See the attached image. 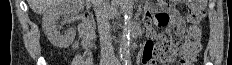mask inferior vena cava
<instances>
[{
	"instance_id": "1",
	"label": "inferior vena cava",
	"mask_w": 232,
	"mask_h": 65,
	"mask_svg": "<svg viewBox=\"0 0 232 65\" xmlns=\"http://www.w3.org/2000/svg\"><path fill=\"white\" fill-rule=\"evenodd\" d=\"M92 2L98 23L102 58L105 61H112L115 59V55L109 31L110 6L108 0H93Z\"/></svg>"
}]
</instances>
